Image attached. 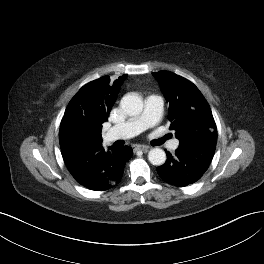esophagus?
Instances as JSON below:
<instances>
[{"mask_svg": "<svg viewBox=\"0 0 264 264\" xmlns=\"http://www.w3.org/2000/svg\"><path fill=\"white\" fill-rule=\"evenodd\" d=\"M148 150H149V147L146 145H134L133 146L134 152H136V151L148 152Z\"/></svg>", "mask_w": 264, "mask_h": 264, "instance_id": "34e87169", "label": "esophagus"}]
</instances>
